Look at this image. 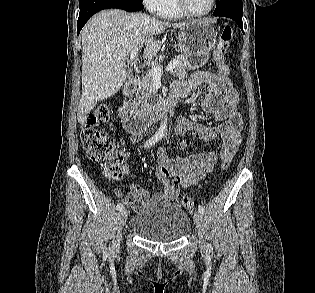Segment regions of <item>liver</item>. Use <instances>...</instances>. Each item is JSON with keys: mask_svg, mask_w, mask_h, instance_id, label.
I'll return each mask as SVG.
<instances>
[{"mask_svg": "<svg viewBox=\"0 0 315 293\" xmlns=\"http://www.w3.org/2000/svg\"><path fill=\"white\" fill-rule=\"evenodd\" d=\"M188 23H169L118 9L93 16L81 32L82 95L78 122L84 124L98 101L120 90L128 77L125 61L134 49L143 48L144 58L150 60L160 49L159 34L169 27L182 28Z\"/></svg>", "mask_w": 315, "mask_h": 293, "instance_id": "6515ba94", "label": "liver"}]
</instances>
